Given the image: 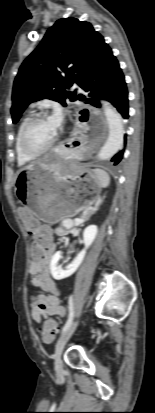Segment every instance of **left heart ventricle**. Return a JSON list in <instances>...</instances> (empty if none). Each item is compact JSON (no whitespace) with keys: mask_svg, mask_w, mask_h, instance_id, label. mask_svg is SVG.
<instances>
[{"mask_svg":"<svg viewBox=\"0 0 155 413\" xmlns=\"http://www.w3.org/2000/svg\"><path fill=\"white\" fill-rule=\"evenodd\" d=\"M57 132L52 128L48 120L36 123L30 130L28 142L31 147L40 149L47 146L56 136Z\"/></svg>","mask_w":155,"mask_h":413,"instance_id":"1","label":"left heart ventricle"}]
</instances>
